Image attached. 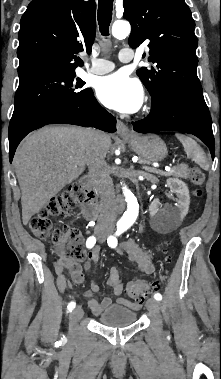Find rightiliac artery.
Returning <instances> with one entry per match:
<instances>
[{"label":"right iliac artery","instance_id":"right-iliac-artery-1","mask_svg":"<svg viewBox=\"0 0 221 379\" xmlns=\"http://www.w3.org/2000/svg\"><path fill=\"white\" fill-rule=\"evenodd\" d=\"M96 243V238L94 236H90L86 241V247L92 248ZM76 307V303L74 301L70 302L67 306V311L71 312Z\"/></svg>","mask_w":221,"mask_h":379}]
</instances>
